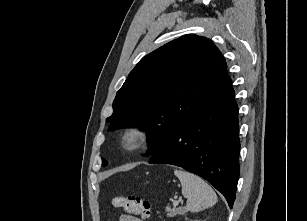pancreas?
<instances>
[{
    "label": "pancreas",
    "instance_id": "cf45deb5",
    "mask_svg": "<svg viewBox=\"0 0 307 221\" xmlns=\"http://www.w3.org/2000/svg\"><path fill=\"white\" fill-rule=\"evenodd\" d=\"M166 213L168 217H174L176 215H183L187 212V210L184 207H180V208H166Z\"/></svg>",
    "mask_w": 307,
    "mask_h": 221
}]
</instances>
